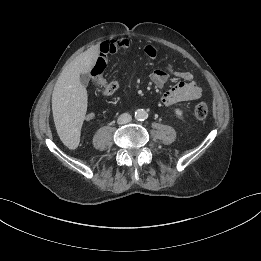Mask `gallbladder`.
I'll list each match as a JSON object with an SVG mask.
<instances>
[{
  "label": "gallbladder",
  "instance_id": "bac80fb5",
  "mask_svg": "<svg viewBox=\"0 0 261 261\" xmlns=\"http://www.w3.org/2000/svg\"><path fill=\"white\" fill-rule=\"evenodd\" d=\"M90 80V77L88 74H81L80 75V82L82 85L86 86Z\"/></svg>",
  "mask_w": 261,
  "mask_h": 261
}]
</instances>
